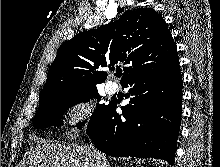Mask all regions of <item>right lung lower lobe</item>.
I'll list each match as a JSON object with an SVG mask.
<instances>
[{"instance_id":"obj_1","label":"right lung lower lobe","mask_w":220,"mask_h":167,"mask_svg":"<svg viewBox=\"0 0 220 167\" xmlns=\"http://www.w3.org/2000/svg\"><path fill=\"white\" fill-rule=\"evenodd\" d=\"M179 63V62H178ZM134 76L129 104L116 113L112 101L99 113L87 134L102 152L116 157L159 158L174 163L182 113V75L179 65Z\"/></svg>"}]
</instances>
